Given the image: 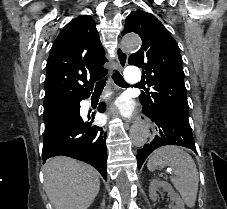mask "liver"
I'll return each mask as SVG.
<instances>
[{"label":"liver","instance_id":"obj_1","mask_svg":"<svg viewBox=\"0 0 227 209\" xmlns=\"http://www.w3.org/2000/svg\"><path fill=\"white\" fill-rule=\"evenodd\" d=\"M44 189L54 209H88L99 193L100 175L90 165L56 157L44 165Z\"/></svg>","mask_w":227,"mask_h":209}]
</instances>
